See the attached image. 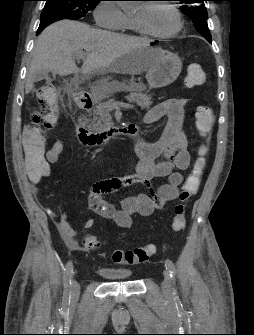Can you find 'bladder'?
<instances>
[{
    "label": "bladder",
    "instance_id": "bladder-1",
    "mask_svg": "<svg viewBox=\"0 0 254 335\" xmlns=\"http://www.w3.org/2000/svg\"><path fill=\"white\" fill-rule=\"evenodd\" d=\"M97 272L109 281L129 280L132 272L126 269L100 267Z\"/></svg>",
    "mask_w": 254,
    "mask_h": 335
}]
</instances>
